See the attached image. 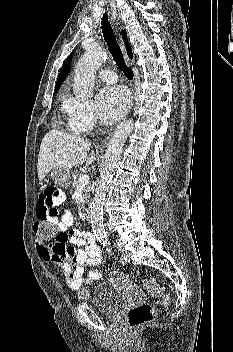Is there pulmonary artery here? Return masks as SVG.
I'll return each instance as SVG.
<instances>
[{"label":"pulmonary artery","instance_id":"pulmonary-artery-1","mask_svg":"<svg viewBox=\"0 0 233 352\" xmlns=\"http://www.w3.org/2000/svg\"><path fill=\"white\" fill-rule=\"evenodd\" d=\"M98 77L107 83H114L117 80V76L113 71L110 70H101L98 73Z\"/></svg>","mask_w":233,"mask_h":352}]
</instances>
